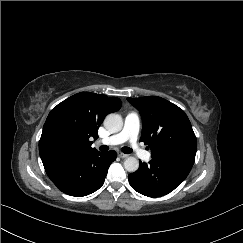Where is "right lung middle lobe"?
<instances>
[{"label": "right lung middle lobe", "instance_id": "right-lung-middle-lobe-1", "mask_svg": "<svg viewBox=\"0 0 243 243\" xmlns=\"http://www.w3.org/2000/svg\"><path fill=\"white\" fill-rule=\"evenodd\" d=\"M70 144L71 139L68 133L53 129L45 135L42 147L49 156L59 157L68 150Z\"/></svg>", "mask_w": 243, "mask_h": 243}]
</instances>
